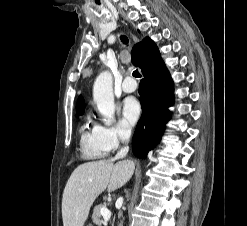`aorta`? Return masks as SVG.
I'll list each match as a JSON object with an SVG mask.
<instances>
[{
  "instance_id": "obj_1",
  "label": "aorta",
  "mask_w": 247,
  "mask_h": 226,
  "mask_svg": "<svg viewBox=\"0 0 247 226\" xmlns=\"http://www.w3.org/2000/svg\"><path fill=\"white\" fill-rule=\"evenodd\" d=\"M93 99L99 112L104 117V123L110 125L115 113V104L113 77L109 71L101 72L96 78L93 86Z\"/></svg>"
}]
</instances>
